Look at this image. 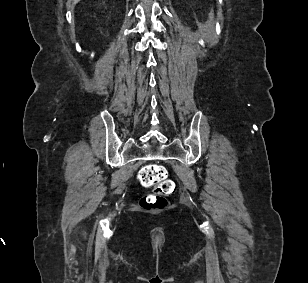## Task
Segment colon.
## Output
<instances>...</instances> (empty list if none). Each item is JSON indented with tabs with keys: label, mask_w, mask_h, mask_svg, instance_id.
Wrapping results in <instances>:
<instances>
[{
	"label": "colon",
	"mask_w": 308,
	"mask_h": 283,
	"mask_svg": "<svg viewBox=\"0 0 308 283\" xmlns=\"http://www.w3.org/2000/svg\"><path fill=\"white\" fill-rule=\"evenodd\" d=\"M139 183L146 188H153V194L141 201L146 209L162 208L166 204V197L175 190L174 182L167 177L166 169L157 164H147L138 173Z\"/></svg>",
	"instance_id": "5ec220e1"
}]
</instances>
